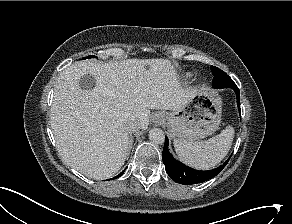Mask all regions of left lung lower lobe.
<instances>
[{
	"instance_id": "left-lung-lower-lobe-1",
	"label": "left lung lower lobe",
	"mask_w": 292,
	"mask_h": 224,
	"mask_svg": "<svg viewBox=\"0 0 292 224\" xmlns=\"http://www.w3.org/2000/svg\"><path fill=\"white\" fill-rule=\"evenodd\" d=\"M223 88H232L235 91L236 97H237V106L241 114L240 93L236 84L232 80H230V84L224 85ZM162 159H163V163L165 165L167 174L175 182L184 184V185L197 184V183H202L204 181H207L213 178L214 176H216L217 174H219L228 163V160H227L220 167L210 170V171H198V170L192 169L173 158V156L170 154L168 150L167 137L165 139Z\"/></svg>"
}]
</instances>
